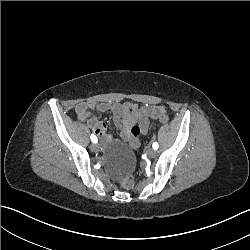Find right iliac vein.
<instances>
[{"instance_id":"1","label":"right iliac vein","mask_w":250,"mask_h":250,"mask_svg":"<svg viewBox=\"0 0 250 250\" xmlns=\"http://www.w3.org/2000/svg\"><path fill=\"white\" fill-rule=\"evenodd\" d=\"M91 151L97 152L99 150V145L96 143H93L90 147Z\"/></svg>"}]
</instances>
